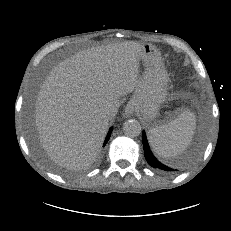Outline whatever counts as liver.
I'll return each mask as SVG.
<instances>
[{"label":"liver","mask_w":231,"mask_h":231,"mask_svg":"<svg viewBox=\"0 0 231 231\" xmlns=\"http://www.w3.org/2000/svg\"><path fill=\"white\" fill-rule=\"evenodd\" d=\"M143 46L134 41L97 46L61 62L36 100L35 126L55 163L82 169L94 162L119 98L139 82ZM105 109H112L105 115Z\"/></svg>","instance_id":"liver-1"}]
</instances>
